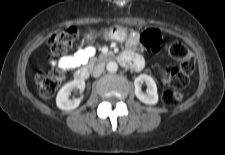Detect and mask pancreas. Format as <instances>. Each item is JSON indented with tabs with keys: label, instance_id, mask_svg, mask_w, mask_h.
<instances>
[{
	"label": "pancreas",
	"instance_id": "1",
	"mask_svg": "<svg viewBox=\"0 0 225 155\" xmlns=\"http://www.w3.org/2000/svg\"><path fill=\"white\" fill-rule=\"evenodd\" d=\"M100 58H102V56H100ZM93 65V63L91 62L90 64H89V66H92Z\"/></svg>",
	"mask_w": 225,
	"mask_h": 155
}]
</instances>
